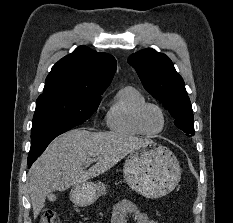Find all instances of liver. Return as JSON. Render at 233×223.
Returning <instances> with one entry per match:
<instances>
[{"instance_id": "6515ba94", "label": "liver", "mask_w": 233, "mask_h": 223, "mask_svg": "<svg viewBox=\"0 0 233 223\" xmlns=\"http://www.w3.org/2000/svg\"><path fill=\"white\" fill-rule=\"evenodd\" d=\"M145 139L115 133V131H87V127L71 129L51 141L44 153L28 171L27 189L33 215L38 217L51 191H64L91 177L102 175L121 161L127 153L144 145ZM92 167L85 169L84 165Z\"/></svg>"}]
</instances>
